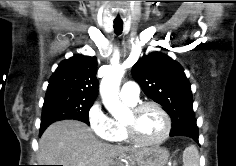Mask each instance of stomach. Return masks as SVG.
<instances>
[{
    "mask_svg": "<svg viewBox=\"0 0 236 166\" xmlns=\"http://www.w3.org/2000/svg\"><path fill=\"white\" fill-rule=\"evenodd\" d=\"M141 158L134 165L130 166H166L169 159V152L162 147H151L142 150ZM120 166H125L121 164Z\"/></svg>",
    "mask_w": 236,
    "mask_h": 166,
    "instance_id": "0dacf381",
    "label": "stomach"
}]
</instances>
